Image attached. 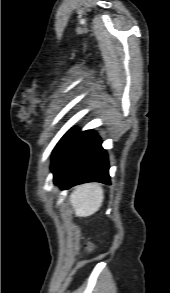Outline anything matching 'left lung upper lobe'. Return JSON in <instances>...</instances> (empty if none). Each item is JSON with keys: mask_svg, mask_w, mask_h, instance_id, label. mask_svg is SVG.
I'll use <instances>...</instances> for the list:
<instances>
[{"mask_svg": "<svg viewBox=\"0 0 170 293\" xmlns=\"http://www.w3.org/2000/svg\"><path fill=\"white\" fill-rule=\"evenodd\" d=\"M77 132L78 130L76 129L70 130L60 140V142L57 144L56 148L54 149L52 164L57 160V158L60 156L62 151L65 149V147L68 145V143L72 140V138L75 136Z\"/></svg>", "mask_w": 170, "mask_h": 293, "instance_id": "left-lung-upper-lobe-1", "label": "left lung upper lobe"}]
</instances>
